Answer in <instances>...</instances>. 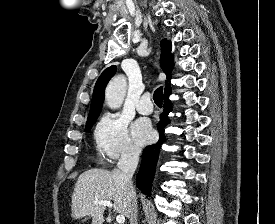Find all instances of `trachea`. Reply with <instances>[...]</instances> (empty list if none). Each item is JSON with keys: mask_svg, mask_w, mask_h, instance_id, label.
Returning <instances> with one entry per match:
<instances>
[{"mask_svg": "<svg viewBox=\"0 0 275 224\" xmlns=\"http://www.w3.org/2000/svg\"><path fill=\"white\" fill-rule=\"evenodd\" d=\"M153 100L157 106L162 107V102H163V87L162 86L155 90V92L153 94Z\"/></svg>", "mask_w": 275, "mask_h": 224, "instance_id": "3493384b", "label": "trachea"}]
</instances>
